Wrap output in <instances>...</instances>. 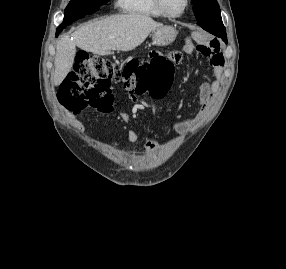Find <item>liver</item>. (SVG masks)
Returning a JSON list of instances; mask_svg holds the SVG:
<instances>
[{"mask_svg": "<svg viewBox=\"0 0 286 269\" xmlns=\"http://www.w3.org/2000/svg\"><path fill=\"white\" fill-rule=\"evenodd\" d=\"M161 26L149 16L138 13L115 15L82 25L72 38L63 36L56 45L54 85L59 86L71 71L76 46L98 55L112 50L130 51Z\"/></svg>", "mask_w": 286, "mask_h": 269, "instance_id": "liver-1", "label": "liver"}]
</instances>
